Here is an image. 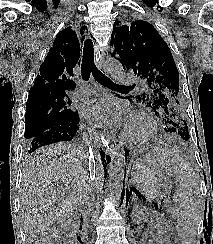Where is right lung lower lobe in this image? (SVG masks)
Returning a JSON list of instances; mask_svg holds the SVG:
<instances>
[{
    "label": "right lung lower lobe",
    "instance_id": "1",
    "mask_svg": "<svg viewBox=\"0 0 213 244\" xmlns=\"http://www.w3.org/2000/svg\"><path fill=\"white\" fill-rule=\"evenodd\" d=\"M78 130L79 115L72 121L50 128L47 131L29 140L28 152L32 153L38 148L52 143L70 141L74 138ZM100 154L102 157L103 165L105 167L106 161L109 162L110 158L109 156H106L105 153H103V151H100Z\"/></svg>",
    "mask_w": 213,
    "mask_h": 244
}]
</instances>
